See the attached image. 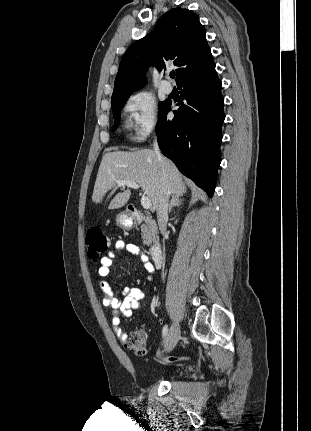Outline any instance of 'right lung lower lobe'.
<instances>
[{"instance_id": "98d812e1", "label": "right lung lower lobe", "mask_w": 311, "mask_h": 431, "mask_svg": "<svg viewBox=\"0 0 311 431\" xmlns=\"http://www.w3.org/2000/svg\"><path fill=\"white\" fill-rule=\"evenodd\" d=\"M222 83L215 65L199 76L181 84V98L185 100L167 120L171 102L159 113L156 127L162 153L177 168L212 197L221 161V125L224 121ZM179 105V103L177 104Z\"/></svg>"}]
</instances>
